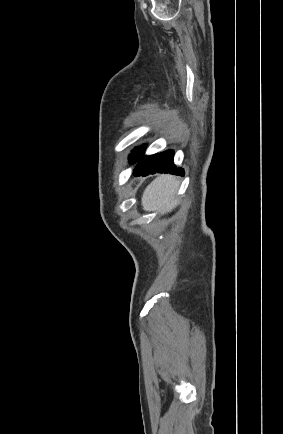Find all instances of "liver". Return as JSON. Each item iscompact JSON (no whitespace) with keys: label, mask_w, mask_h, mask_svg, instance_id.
<instances>
[{"label":"liver","mask_w":283,"mask_h":434,"mask_svg":"<svg viewBox=\"0 0 283 434\" xmlns=\"http://www.w3.org/2000/svg\"><path fill=\"white\" fill-rule=\"evenodd\" d=\"M179 187L177 177L163 174L154 179L144 190L142 206L145 211L170 212L178 204L175 194Z\"/></svg>","instance_id":"liver-1"}]
</instances>
